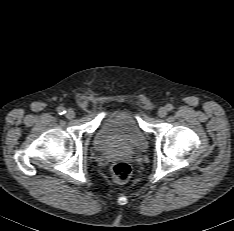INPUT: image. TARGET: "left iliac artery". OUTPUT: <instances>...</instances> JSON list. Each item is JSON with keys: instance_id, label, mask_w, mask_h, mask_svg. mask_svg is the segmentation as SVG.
Listing matches in <instances>:
<instances>
[{"instance_id": "left-iliac-artery-1", "label": "left iliac artery", "mask_w": 234, "mask_h": 231, "mask_svg": "<svg viewBox=\"0 0 234 231\" xmlns=\"http://www.w3.org/2000/svg\"><path fill=\"white\" fill-rule=\"evenodd\" d=\"M173 105L172 104H167L166 105V109H167V111H172L173 110Z\"/></svg>"}]
</instances>
